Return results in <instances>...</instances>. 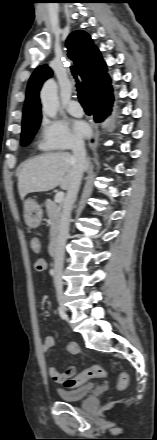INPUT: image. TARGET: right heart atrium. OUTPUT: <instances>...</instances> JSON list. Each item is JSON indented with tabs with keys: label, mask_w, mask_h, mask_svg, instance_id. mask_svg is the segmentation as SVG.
I'll list each match as a JSON object with an SVG mask.
<instances>
[{
	"label": "right heart atrium",
	"mask_w": 157,
	"mask_h": 440,
	"mask_svg": "<svg viewBox=\"0 0 157 440\" xmlns=\"http://www.w3.org/2000/svg\"><path fill=\"white\" fill-rule=\"evenodd\" d=\"M81 144L82 140L71 132L66 122L61 120H43L40 142L43 149L64 150Z\"/></svg>",
	"instance_id": "right-heart-atrium-1"
}]
</instances>
